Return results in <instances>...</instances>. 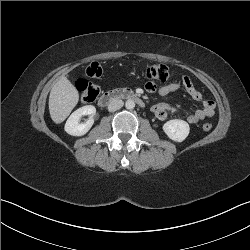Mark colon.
<instances>
[{
	"label": "colon",
	"instance_id": "5ec220e1",
	"mask_svg": "<svg viewBox=\"0 0 250 250\" xmlns=\"http://www.w3.org/2000/svg\"><path fill=\"white\" fill-rule=\"evenodd\" d=\"M102 71V66L98 62H92L87 66L85 75L87 78H98L102 75ZM145 76L151 80L166 82L173 77V73L164 64H153L146 69ZM76 88L80 93L82 101L85 103L94 102L100 93L99 88L86 79H79L76 82ZM202 128L204 131H210L212 124L204 123Z\"/></svg>",
	"mask_w": 250,
	"mask_h": 250
}]
</instances>
